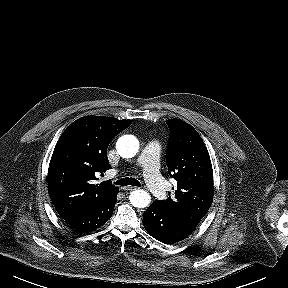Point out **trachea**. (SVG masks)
<instances>
[{
	"label": "trachea",
	"instance_id": "obj_1",
	"mask_svg": "<svg viewBox=\"0 0 288 288\" xmlns=\"http://www.w3.org/2000/svg\"><path fill=\"white\" fill-rule=\"evenodd\" d=\"M116 184L120 186H127V185L138 186V187L141 186L138 180H136L135 178H128V177L117 180Z\"/></svg>",
	"mask_w": 288,
	"mask_h": 288
}]
</instances>
